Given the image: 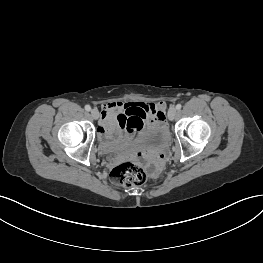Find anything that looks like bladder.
Here are the masks:
<instances>
[{
  "label": "bladder",
  "instance_id": "bladder-1",
  "mask_svg": "<svg viewBox=\"0 0 263 263\" xmlns=\"http://www.w3.org/2000/svg\"><path fill=\"white\" fill-rule=\"evenodd\" d=\"M169 142V130L167 125L161 121H155L146 127L134 140V143L145 148L164 147Z\"/></svg>",
  "mask_w": 263,
  "mask_h": 263
}]
</instances>
